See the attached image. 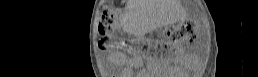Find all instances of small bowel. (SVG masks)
<instances>
[{
    "label": "small bowel",
    "instance_id": "small-bowel-1",
    "mask_svg": "<svg viewBox=\"0 0 258 77\" xmlns=\"http://www.w3.org/2000/svg\"><path fill=\"white\" fill-rule=\"evenodd\" d=\"M119 55V54H117ZM124 63L126 65L127 69H132L133 67L137 66L140 64V60L138 58L135 57H130V58H126L124 60ZM130 71H127V73H129Z\"/></svg>",
    "mask_w": 258,
    "mask_h": 77
}]
</instances>
